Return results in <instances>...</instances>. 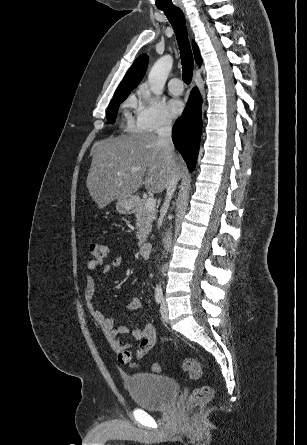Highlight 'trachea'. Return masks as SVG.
Masks as SVG:
<instances>
[{"instance_id":"3493384b","label":"trachea","mask_w":307,"mask_h":445,"mask_svg":"<svg viewBox=\"0 0 307 445\" xmlns=\"http://www.w3.org/2000/svg\"><path fill=\"white\" fill-rule=\"evenodd\" d=\"M160 10L164 11L175 31L181 55V64L183 69L182 78L183 81L189 85L193 76V56L187 36L184 14L180 8L175 6L162 8Z\"/></svg>"}]
</instances>
